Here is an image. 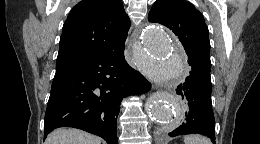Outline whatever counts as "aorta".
I'll return each instance as SVG.
<instances>
[{
    "label": "aorta",
    "instance_id": "762f6f07",
    "mask_svg": "<svg viewBox=\"0 0 260 144\" xmlns=\"http://www.w3.org/2000/svg\"><path fill=\"white\" fill-rule=\"evenodd\" d=\"M145 57L137 58L142 72L155 83L173 82L184 74L185 59L180 45L170 32L158 24H149L142 34ZM151 120L176 126L182 119L179 98L173 93H154L146 101Z\"/></svg>",
    "mask_w": 260,
    "mask_h": 144
}]
</instances>
